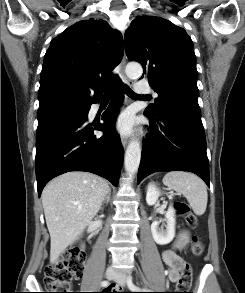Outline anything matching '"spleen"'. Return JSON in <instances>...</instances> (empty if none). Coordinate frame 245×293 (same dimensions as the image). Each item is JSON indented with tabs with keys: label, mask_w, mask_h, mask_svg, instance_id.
Instances as JSON below:
<instances>
[{
	"label": "spleen",
	"mask_w": 245,
	"mask_h": 293,
	"mask_svg": "<svg viewBox=\"0 0 245 293\" xmlns=\"http://www.w3.org/2000/svg\"><path fill=\"white\" fill-rule=\"evenodd\" d=\"M163 183L182 194L196 215L204 214L208 194L205 183L198 176L189 172L173 171L164 176Z\"/></svg>",
	"instance_id": "3e777b00"
}]
</instances>
